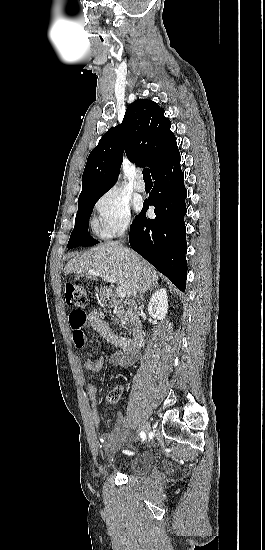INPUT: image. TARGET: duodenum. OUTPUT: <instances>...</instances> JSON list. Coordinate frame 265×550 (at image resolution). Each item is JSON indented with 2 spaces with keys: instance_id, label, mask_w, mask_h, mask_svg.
Wrapping results in <instances>:
<instances>
[{
  "instance_id": "obj_1",
  "label": "duodenum",
  "mask_w": 265,
  "mask_h": 550,
  "mask_svg": "<svg viewBox=\"0 0 265 550\" xmlns=\"http://www.w3.org/2000/svg\"><path fill=\"white\" fill-rule=\"evenodd\" d=\"M102 299H103V302L110 307H114L119 304V301L117 300V298L110 291L103 292ZM144 342H145L144 328L140 323H138L134 326V329H133V335L131 339L132 348L134 350H138L144 345Z\"/></svg>"
}]
</instances>
